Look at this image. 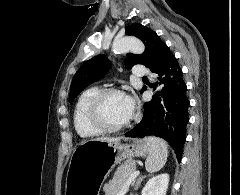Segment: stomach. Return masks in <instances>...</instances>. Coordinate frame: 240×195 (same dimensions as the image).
Instances as JSON below:
<instances>
[{
	"label": "stomach",
	"mask_w": 240,
	"mask_h": 195,
	"mask_svg": "<svg viewBox=\"0 0 240 195\" xmlns=\"http://www.w3.org/2000/svg\"><path fill=\"white\" fill-rule=\"evenodd\" d=\"M119 141L85 139L75 147L66 177V195H99L116 163L149 153L147 139L118 137Z\"/></svg>",
	"instance_id": "stomach-1"
}]
</instances>
